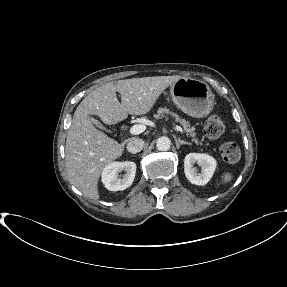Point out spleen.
<instances>
[{
  "mask_svg": "<svg viewBox=\"0 0 287 287\" xmlns=\"http://www.w3.org/2000/svg\"><path fill=\"white\" fill-rule=\"evenodd\" d=\"M233 179V174L230 172H226L221 176L222 183H229Z\"/></svg>",
  "mask_w": 287,
  "mask_h": 287,
  "instance_id": "3e777b00",
  "label": "spleen"
}]
</instances>
